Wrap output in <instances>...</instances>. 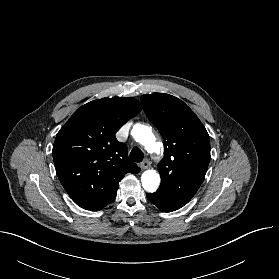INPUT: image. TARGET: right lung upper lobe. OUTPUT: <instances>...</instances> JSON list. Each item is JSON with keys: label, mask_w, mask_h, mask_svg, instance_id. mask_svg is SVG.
<instances>
[{"label": "right lung upper lobe", "mask_w": 279, "mask_h": 279, "mask_svg": "<svg viewBox=\"0 0 279 279\" xmlns=\"http://www.w3.org/2000/svg\"><path fill=\"white\" fill-rule=\"evenodd\" d=\"M141 110L132 97L94 100L77 109L58 132L52 151L57 175L81 208L101 210L116 197L124 175L140 171L115 133Z\"/></svg>", "instance_id": "1"}]
</instances>
